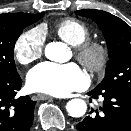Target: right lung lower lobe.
I'll return each instance as SVG.
<instances>
[{
    "label": "right lung lower lobe",
    "instance_id": "obj_1",
    "mask_svg": "<svg viewBox=\"0 0 131 131\" xmlns=\"http://www.w3.org/2000/svg\"><path fill=\"white\" fill-rule=\"evenodd\" d=\"M21 78L0 76V131H28L33 124L35 101L28 96L15 98Z\"/></svg>",
    "mask_w": 131,
    "mask_h": 131
}]
</instances>
